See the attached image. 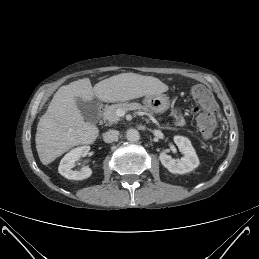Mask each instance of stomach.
<instances>
[{
  "label": "stomach",
  "mask_w": 259,
  "mask_h": 259,
  "mask_svg": "<svg viewBox=\"0 0 259 259\" xmlns=\"http://www.w3.org/2000/svg\"><path fill=\"white\" fill-rule=\"evenodd\" d=\"M143 102L148 109L155 113L164 112L170 106V100L164 94L146 96Z\"/></svg>",
  "instance_id": "obj_1"
}]
</instances>
